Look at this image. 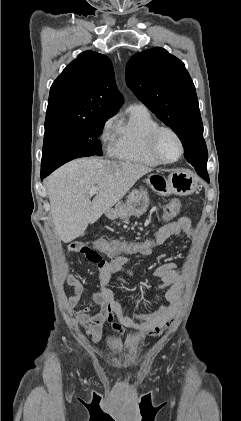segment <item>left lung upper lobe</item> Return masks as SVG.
Masks as SVG:
<instances>
[{
    "mask_svg": "<svg viewBox=\"0 0 241 421\" xmlns=\"http://www.w3.org/2000/svg\"><path fill=\"white\" fill-rule=\"evenodd\" d=\"M126 83L175 131L184 146L186 160L206 167L207 147L198 99L184 63L163 48L142 51L128 61Z\"/></svg>",
    "mask_w": 241,
    "mask_h": 421,
    "instance_id": "obj_1",
    "label": "left lung upper lobe"
}]
</instances>
